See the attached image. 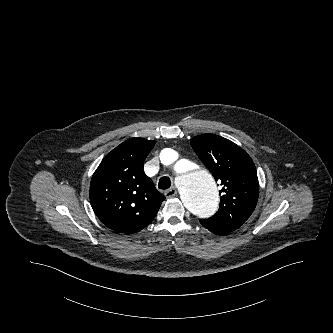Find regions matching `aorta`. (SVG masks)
I'll return each mask as SVG.
<instances>
[{
  "label": "aorta",
  "instance_id": "aorta-1",
  "mask_svg": "<svg viewBox=\"0 0 333 333\" xmlns=\"http://www.w3.org/2000/svg\"><path fill=\"white\" fill-rule=\"evenodd\" d=\"M177 153L164 149L160 159L164 164L175 161ZM178 174L179 191L183 205L196 217L206 219L212 216L219 205V194L213 176L199 168L192 160H180L174 165Z\"/></svg>",
  "mask_w": 333,
  "mask_h": 333
}]
</instances>
